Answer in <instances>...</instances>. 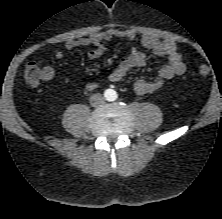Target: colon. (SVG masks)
Returning a JSON list of instances; mask_svg holds the SVG:
<instances>
[{
  "label": "colon",
  "instance_id": "colon-1",
  "mask_svg": "<svg viewBox=\"0 0 222 219\" xmlns=\"http://www.w3.org/2000/svg\"><path fill=\"white\" fill-rule=\"evenodd\" d=\"M210 74V68L206 64H200L197 66V75L201 78H205ZM46 76L44 68H42L36 62L30 61L26 64L24 70V78L27 84L30 86H36Z\"/></svg>",
  "mask_w": 222,
  "mask_h": 219
}]
</instances>
